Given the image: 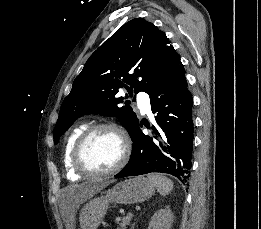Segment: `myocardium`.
<instances>
[{
  "label": "myocardium",
  "instance_id": "obj_1",
  "mask_svg": "<svg viewBox=\"0 0 261 229\" xmlns=\"http://www.w3.org/2000/svg\"><path fill=\"white\" fill-rule=\"evenodd\" d=\"M102 130H108L116 133L122 143V154L120 160L115 166L107 170L93 169L86 163L84 159V150L87 143L93 135ZM130 154L131 144L125 130L114 124L102 123L86 128L84 132L79 136L72 149V165L80 174L83 175L109 176L120 171L127 164Z\"/></svg>",
  "mask_w": 261,
  "mask_h": 229
}]
</instances>
